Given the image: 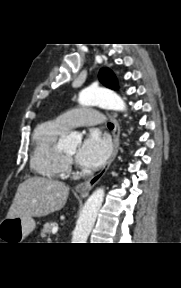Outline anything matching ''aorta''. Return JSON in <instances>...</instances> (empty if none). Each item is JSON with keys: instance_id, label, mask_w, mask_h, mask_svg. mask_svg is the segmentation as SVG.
I'll return each mask as SVG.
<instances>
[{"instance_id": "aorta-1", "label": "aorta", "mask_w": 181, "mask_h": 288, "mask_svg": "<svg viewBox=\"0 0 181 288\" xmlns=\"http://www.w3.org/2000/svg\"><path fill=\"white\" fill-rule=\"evenodd\" d=\"M78 102L83 106L99 105L116 111H126V104L120 96L103 88H87L80 92ZM78 142L72 133L64 140L65 146L72 147ZM104 199V189H96L87 199L73 232L72 243H86L95 224L97 214Z\"/></svg>"}]
</instances>
